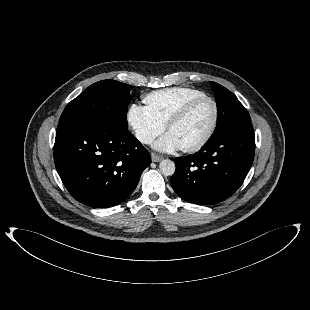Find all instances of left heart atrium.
Here are the masks:
<instances>
[{"instance_id": "left-heart-atrium-1", "label": "left heart atrium", "mask_w": 310, "mask_h": 310, "mask_svg": "<svg viewBox=\"0 0 310 310\" xmlns=\"http://www.w3.org/2000/svg\"><path fill=\"white\" fill-rule=\"evenodd\" d=\"M153 146L156 150L164 153H171L182 148L179 139L170 131L158 139Z\"/></svg>"}]
</instances>
